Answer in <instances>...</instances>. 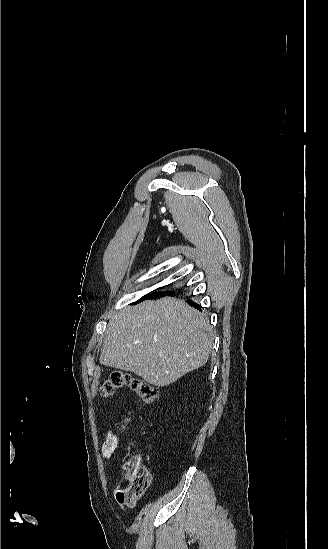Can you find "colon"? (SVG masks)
Instances as JSON below:
<instances>
[{
  "mask_svg": "<svg viewBox=\"0 0 328 549\" xmlns=\"http://www.w3.org/2000/svg\"><path fill=\"white\" fill-rule=\"evenodd\" d=\"M127 387L131 389L145 403L154 402L158 396V389L144 380L133 378L125 373L115 371L104 382L101 388V395L109 397L119 388ZM128 484L118 490V498L124 503H134L140 500L151 484V475L149 471L139 464L126 463L124 466Z\"/></svg>",
  "mask_w": 328,
  "mask_h": 549,
  "instance_id": "colon-1",
  "label": "colon"
}]
</instances>
